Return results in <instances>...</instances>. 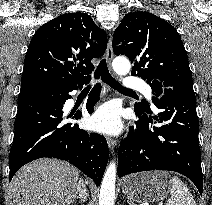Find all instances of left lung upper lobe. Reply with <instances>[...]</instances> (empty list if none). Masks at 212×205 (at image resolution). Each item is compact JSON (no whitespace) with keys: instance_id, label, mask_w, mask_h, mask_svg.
<instances>
[{"instance_id":"1","label":"left lung upper lobe","mask_w":212,"mask_h":205,"mask_svg":"<svg viewBox=\"0 0 212 205\" xmlns=\"http://www.w3.org/2000/svg\"><path fill=\"white\" fill-rule=\"evenodd\" d=\"M113 52L126 55L133 63L131 75H138L147 83L158 80L163 87L193 88L180 35L172 25L151 13L130 12L125 15L114 32ZM158 99L154 95L153 103ZM135 105L150 109L146 100Z\"/></svg>"}]
</instances>
